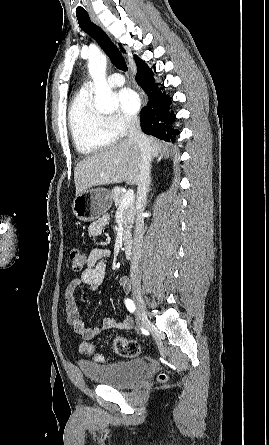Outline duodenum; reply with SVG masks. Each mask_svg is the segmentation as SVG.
<instances>
[{
	"mask_svg": "<svg viewBox=\"0 0 269 445\" xmlns=\"http://www.w3.org/2000/svg\"><path fill=\"white\" fill-rule=\"evenodd\" d=\"M132 248H133V243H132V241H126L125 243H124V247H123V251H124V255L126 256V257H131V255H132Z\"/></svg>",
	"mask_w": 269,
	"mask_h": 445,
	"instance_id": "410a0bca",
	"label": "duodenum"
}]
</instances>
